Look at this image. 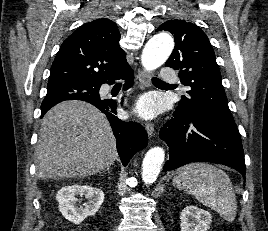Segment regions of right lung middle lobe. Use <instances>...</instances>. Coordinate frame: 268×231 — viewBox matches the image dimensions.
<instances>
[{
	"label": "right lung middle lobe",
	"instance_id": "right-lung-middle-lobe-1",
	"mask_svg": "<svg viewBox=\"0 0 268 231\" xmlns=\"http://www.w3.org/2000/svg\"><path fill=\"white\" fill-rule=\"evenodd\" d=\"M99 96V87L81 82H58L48 84L43 102L87 99Z\"/></svg>",
	"mask_w": 268,
	"mask_h": 231
}]
</instances>
